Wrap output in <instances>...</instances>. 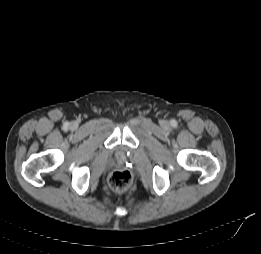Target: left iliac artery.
<instances>
[{
    "label": "left iliac artery",
    "instance_id": "1",
    "mask_svg": "<svg viewBox=\"0 0 261 254\" xmlns=\"http://www.w3.org/2000/svg\"><path fill=\"white\" fill-rule=\"evenodd\" d=\"M172 126L176 127L177 126V122L176 121H172Z\"/></svg>",
    "mask_w": 261,
    "mask_h": 254
}]
</instances>
